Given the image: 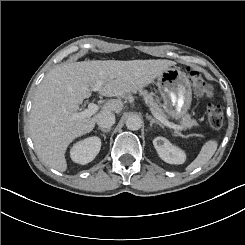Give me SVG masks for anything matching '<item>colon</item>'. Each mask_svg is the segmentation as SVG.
<instances>
[{
	"label": "colon",
	"mask_w": 245,
	"mask_h": 245,
	"mask_svg": "<svg viewBox=\"0 0 245 245\" xmlns=\"http://www.w3.org/2000/svg\"><path fill=\"white\" fill-rule=\"evenodd\" d=\"M192 85L195 92L202 98L208 100L206 116L209 125L213 129H219L223 125V110L217 103L212 102L213 88L205 81L202 74L196 70L188 68Z\"/></svg>",
	"instance_id": "1"
}]
</instances>
